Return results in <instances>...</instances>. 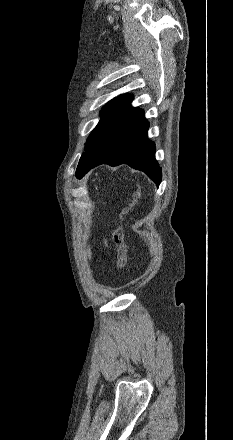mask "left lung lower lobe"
<instances>
[{
    "instance_id": "1",
    "label": "left lung lower lobe",
    "mask_w": 233,
    "mask_h": 440,
    "mask_svg": "<svg viewBox=\"0 0 233 440\" xmlns=\"http://www.w3.org/2000/svg\"><path fill=\"white\" fill-rule=\"evenodd\" d=\"M149 123L144 111L126 107L105 129L85 159L78 165L77 178L100 164L117 166L128 164L145 172L157 186L161 182V168L155 159V144L147 138Z\"/></svg>"
}]
</instances>
